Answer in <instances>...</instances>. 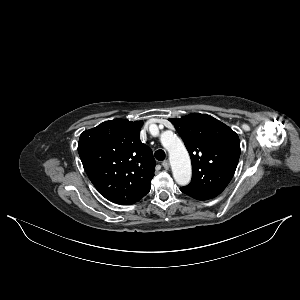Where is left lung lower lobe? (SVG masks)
I'll use <instances>...</instances> for the list:
<instances>
[{
  "instance_id": "obj_1",
  "label": "left lung lower lobe",
  "mask_w": 300,
  "mask_h": 300,
  "mask_svg": "<svg viewBox=\"0 0 300 300\" xmlns=\"http://www.w3.org/2000/svg\"><path fill=\"white\" fill-rule=\"evenodd\" d=\"M180 190L185 193L186 195L194 198V199H197V200H208V199H211V198H214L215 196H209V195H203V194H199V193H196V192H193L185 187H181Z\"/></svg>"
}]
</instances>
